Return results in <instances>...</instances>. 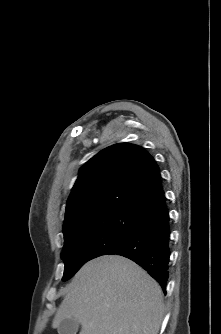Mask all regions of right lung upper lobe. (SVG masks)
<instances>
[{"label":"right lung upper lobe","mask_w":221,"mask_h":334,"mask_svg":"<svg viewBox=\"0 0 221 334\" xmlns=\"http://www.w3.org/2000/svg\"><path fill=\"white\" fill-rule=\"evenodd\" d=\"M162 194L160 172L153 157L140 146L115 144L80 168L67 201L63 233L103 213L139 215Z\"/></svg>","instance_id":"cb5924a9"}]
</instances>
